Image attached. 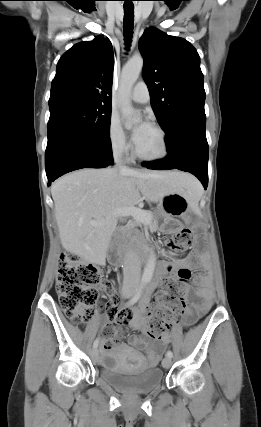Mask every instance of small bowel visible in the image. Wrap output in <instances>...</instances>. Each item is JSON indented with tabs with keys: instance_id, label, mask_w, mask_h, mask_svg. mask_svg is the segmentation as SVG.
I'll return each instance as SVG.
<instances>
[{
	"instance_id": "obj_1",
	"label": "small bowel",
	"mask_w": 261,
	"mask_h": 427,
	"mask_svg": "<svg viewBox=\"0 0 261 427\" xmlns=\"http://www.w3.org/2000/svg\"><path fill=\"white\" fill-rule=\"evenodd\" d=\"M195 254H190L188 257L178 260L176 262L161 261L158 264V276L153 281V288L159 287L160 292L164 291V281L172 276L175 267L181 268H194L195 267ZM197 289L195 296L200 300L193 305V309L186 312L184 316V323L186 325L194 322L196 318L203 315L210 307L213 290L210 279L207 275H199L195 278ZM149 296H145L140 304L132 309H126L120 312L115 305V295L112 294V302H107L105 305L106 311L109 314V319L113 320V324L107 327L103 333V349L106 351L110 349L124 333V325L130 324L136 331L146 330V319L144 312L149 306ZM171 335L163 334L158 338V343L152 340L131 334L128 336L129 344L146 354L143 357L139 353L133 354V359L140 364L141 367H154L158 364L161 354L165 346L170 342Z\"/></svg>"
}]
</instances>
